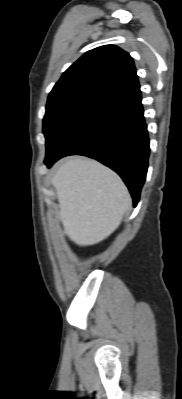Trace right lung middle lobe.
Listing matches in <instances>:
<instances>
[{"instance_id":"right-lung-middle-lobe-1","label":"right lung middle lobe","mask_w":182,"mask_h":399,"mask_svg":"<svg viewBox=\"0 0 182 399\" xmlns=\"http://www.w3.org/2000/svg\"><path fill=\"white\" fill-rule=\"evenodd\" d=\"M106 101L84 94L49 98L43 119V133L48 150L74 123L102 106Z\"/></svg>"}]
</instances>
